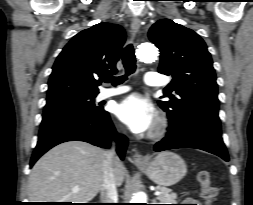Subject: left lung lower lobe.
<instances>
[{
    "mask_svg": "<svg viewBox=\"0 0 253 205\" xmlns=\"http://www.w3.org/2000/svg\"><path fill=\"white\" fill-rule=\"evenodd\" d=\"M167 131L165 138L155 144L156 152L177 148H196L229 161L222 140L218 114L199 112L183 122L170 121Z\"/></svg>",
    "mask_w": 253,
    "mask_h": 205,
    "instance_id": "1",
    "label": "left lung lower lobe"
}]
</instances>
